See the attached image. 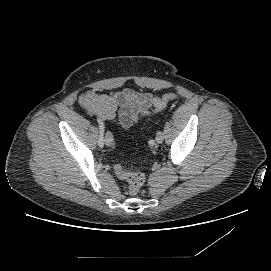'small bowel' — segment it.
I'll return each instance as SVG.
<instances>
[{
  "label": "small bowel",
  "mask_w": 271,
  "mask_h": 271,
  "mask_svg": "<svg viewBox=\"0 0 271 271\" xmlns=\"http://www.w3.org/2000/svg\"><path fill=\"white\" fill-rule=\"evenodd\" d=\"M150 93L125 89L112 94H98L87 91L79 97L80 105L102 121L113 122L122 128H129L140 121L153 104Z\"/></svg>",
  "instance_id": "1"
}]
</instances>
